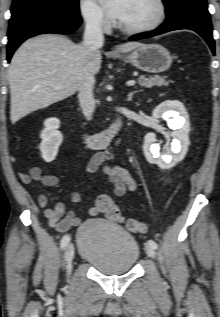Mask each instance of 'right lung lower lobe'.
<instances>
[{
	"mask_svg": "<svg viewBox=\"0 0 220 317\" xmlns=\"http://www.w3.org/2000/svg\"><path fill=\"white\" fill-rule=\"evenodd\" d=\"M80 15L56 11H31L11 17L8 30L7 61L26 39L43 33L68 34L81 25Z\"/></svg>",
	"mask_w": 220,
	"mask_h": 317,
	"instance_id": "obj_1",
	"label": "right lung lower lobe"
}]
</instances>
